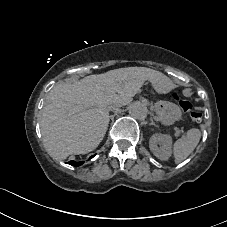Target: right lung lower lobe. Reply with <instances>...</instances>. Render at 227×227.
<instances>
[{
	"label": "right lung lower lobe",
	"mask_w": 227,
	"mask_h": 227,
	"mask_svg": "<svg viewBox=\"0 0 227 227\" xmlns=\"http://www.w3.org/2000/svg\"><path fill=\"white\" fill-rule=\"evenodd\" d=\"M83 163H84L83 161H80V162L70 161V162H68V164H70L74 167H78V166L82 165Z\"/></svg>",
	"instance_id": "98d812e1"
}]
</instances>
